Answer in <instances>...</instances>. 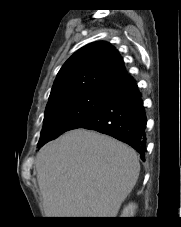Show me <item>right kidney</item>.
Here are the masks:
<instances>
[{
  "label": "right kidney",
  "mask_w": 181,
  "mask_h": 227,
  "mask_svg": "<svg viewBox=\"0 0 181 227\" xmlns=\"http://www.w3.org/2000/svg\"><path fill=\"white\" fill-rule=\"evenodd\" d=\"M137 206L134 203L128 204L122 211L121 217H133Z\"/></svg>",
  "instance_id": "obj_1"
}]
</instances>
